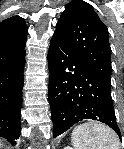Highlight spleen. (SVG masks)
Listing matches in <instances>:
<instances>
[{
    "instance_id": "obj_1",
    "label": "spleen",
    "mask_w": 124,
    "mask_h": 149,
    "mask_svg": "<svg viewBox=\"0 0 124 149\" xmlns=\"http://www.w3.org/2000/svg\"><path fill=\"white\" fill-rule=\"evenodd\" d=\"M71 141L74 149H119L112 131L93 123L77 126L72 132Z\"/></svg>"
}]
</instances>
